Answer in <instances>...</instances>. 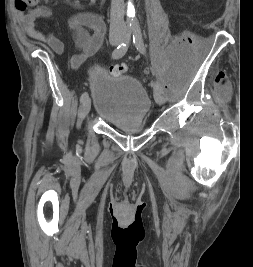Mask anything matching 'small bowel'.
Listing matches in <instances>:
<instances>
[{
  "mask_svg": "<svg viewBox=\"0 0 253 267\" xmlns=\"http://www.w3.org/2000/svg\"><path fill=\"white\" fill-rule=\"evenodd\" d=\"M69 5L80 8L87 4H94L97 0H63ZM51 11L47 7H40L22 17V25L27 35L46 44L57 54L63 52L62 41L53 33H43L36 22L39 18H49ZM74 43L79 52L71 58V65L79 67L85 59L94 54L103 44L106 35V25L102 18L90 12H78L68 20Z\"/></svg>",
  "mask_w": 253,
  "mask_h": 267,
  "instance_id": "obj_1",
  "label": "small bowel"
}]
</instances>
